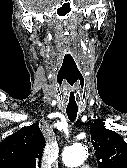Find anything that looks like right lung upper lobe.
Instances as JSON below:
<instances>
[{
    "instance_id": "cb5924a9",
    "label": "right lung upper lobe",
    "mask_w": 127,
    "mask_h": 168,
    "mask_svg": "<svg viewBox=\"0 0 127 168\" xmlns=\"http://www.w3.org/2000/svg\"><path fill=\"white\" fill-rule=\"evenodd\" d=\"M44 147L37 124L23 127L0 143V168H40Z\"/></svg>"
}]
</instances>
